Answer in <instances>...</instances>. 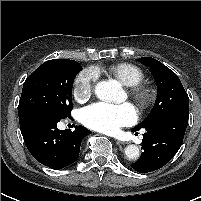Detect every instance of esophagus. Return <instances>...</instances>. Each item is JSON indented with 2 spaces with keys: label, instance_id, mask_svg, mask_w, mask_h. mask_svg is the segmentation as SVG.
Returning <instances> with one entry per match:
<instances>
[{
  "label": "esophagus",
  "instance_id": "34e87169",
  "mask_svg": "<svg viewBox=\"0 0 201 201\" xmlns=\"http://www.w3.org/2000/svg\"><path fill=\"white\" fill-rule=\"evenodd\" d=\"M115 141H116L117 144H123V145L126 144V142L120 141V140H118V139H115Z\"/></svg>",
  "mask_w": 201,
  "mask_h": 201
}]
</instances>
